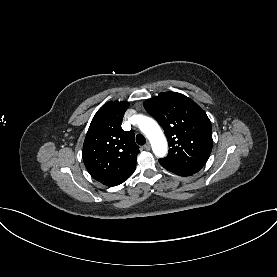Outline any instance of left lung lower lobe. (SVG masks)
<instances>
[{
    "mask_svg": "<svg viewBox=\"0 0 277 277\" xmlns=\"http://www.w3.org/2000/svg\"><path fill=\"white\" fill-rule=\"evenodd\" d=\"M164 168L180 176H189L199 171V169H193V168H170V167H164Z\"/></svg>",
    "mask_w": 277,
    "mask_h": 277,
    "instance_id": "1",
    "label": "left lung lower lobe"
}]
</instances>
